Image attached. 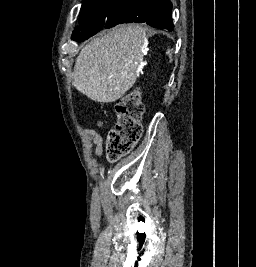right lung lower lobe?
Segmentation results:
<instances>
[{
	"instance_id": "right-lung-lower-lobe-1",
	"label": "right lung lower lobe",
	"mask_w": 256,
	"mask_h": 267,
	"mask_svg": "<svg viewBox=\"0 0 256 267\" xmlns=\"http://www.w3.org/2000/svg\"><path fill=\"white\" fill-rule=\"evenodd\" d=\"M170 0H140L111 27L122 23H144L161 30L173 31ZM110 28V27H109Z\"/></svg>"
}]
</instances>
